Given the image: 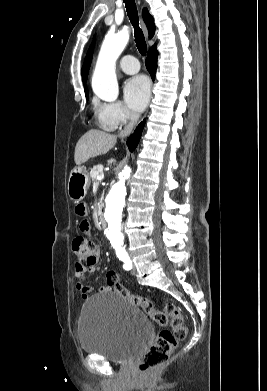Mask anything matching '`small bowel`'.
I'll use <instances>...</instances> for the list:
<instances>
[{
	"instance_id": "small-bowel-1",
	"label": "small bowel",
	"mask_w": 267,
	"mask_h": 391,
	"mask_svg": "<svg viewBox=\"0 0 267 391\" xmlns=\"http://www.w3.org/2000/svg\"><path fill=\"white\" fill-rule=\"evenodd\" d=\"M75 213L83 218L79 226L80 231L86 235H90L91 227L89 221L86 219V215H87L86 205L84 203H78L75 207ZM97 270H98V266L96 263L89 266H79L77 264L75 265V277L77 279L76 287L83 299H88L91 292V288L87 286L85 283L86 275L90 273H94ZM107 289L108 288L106 286H102L100 287L99 291L104 292Z\"/></svg>"
}]
</instances>
